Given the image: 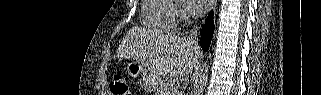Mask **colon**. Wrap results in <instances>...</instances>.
Returning <instances> with one entry per match:
<instances>
[{"mask_svg":"<svg viewBox=\"0 0 321 95\" xmlns=\"http://www.w3.org/2000/svg\"><path fill=\"white\" fill-rule=\"evenodd\" d=\"M110 90L116 95H131V90L125 78L116 75L110 83Z\"/></svg>","mask_w":321,"mask_h":95,"instance_id":"colon-1","label":"colon"}]
</instances>
